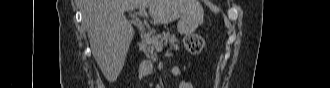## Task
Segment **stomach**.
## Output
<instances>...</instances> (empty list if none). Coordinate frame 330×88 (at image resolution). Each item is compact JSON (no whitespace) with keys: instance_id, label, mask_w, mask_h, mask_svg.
<instances>
[{"instance_id":"1","label":"stomach","mask_w":330,"mask_h":88,"mask_svg":"<svg viewBox=\"0 0 330 88\" xmlns=\"http://www.w3.org/2000/svg\"><path fill=\"white\" fill-rule=\"evenodd\" d=\"M196 12L181 17L178 22L177 29L180 34L193 33L203 22L204 12L202 7H199Z\"/></svg>"}]
</instances>
